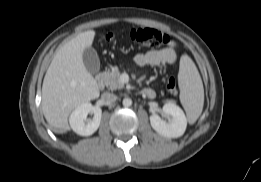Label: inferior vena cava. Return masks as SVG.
I'll use <instances>...</instances> for the list:
<instances>
[{
    "mask_svg": "<svg viewBox=\"0 0 261 182\" xmlns=\"http://www.w3.org/2000/svg\"><path fill=\"white\" fill-rule=\"evenodd\" d=\"M102 98L106 100L107 102L113 103L117 100V96L112 93H104L102 95Z\"/></svg>",
    "mask_w": 261,
    "mask_h": 182,
    "instance_id": "obj_1",
    "label": "inferior vena cava"
}]
</instances>
